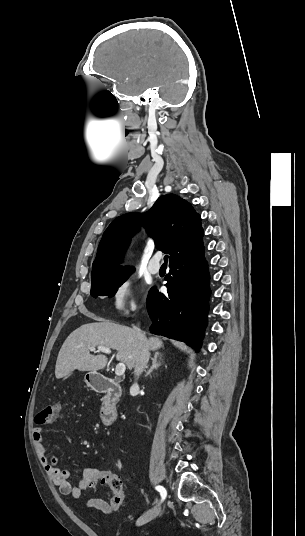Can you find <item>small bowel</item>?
<instances>
[{"mask_svg": "<svg viewBox=\"0 0 305 536\" xmlns=\"http://www.w3.org/2000/svg\"><path fill=\"white\" fill-rule=\"evenodd\" d=\"M32 437L42 467L53 483L58 487L62 495L71 496L72 498L77 499L90 487H94V479L92 476L94 467L85 468L77 485H72L69 482L70 472L67 469H62L58 466L59 460L56 456L48 454L43 441V427L40 429L33 428ZM86 507L99 510L107 515H110L115 511L111 504L102 498L88 499Z\"/></svg>", "mask_w": 305, "mask_h": 536, "instance_id": "obj_1", "label": "small bowel"}]
</instances>
